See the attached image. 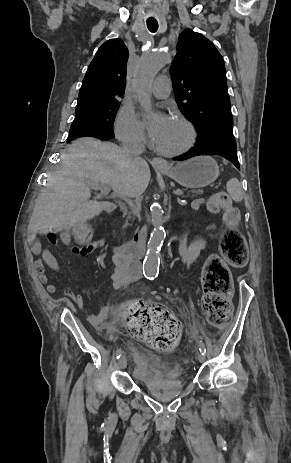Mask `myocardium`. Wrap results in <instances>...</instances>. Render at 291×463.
<instances>
[{"mask_svg": "<svg viewBox=\"0 0 291 463\" xmlns=\"http://www.w3.org/2000/svg\"><path fill=\"white\" fill-rule=\"evenodd\" d=\"M175 120L179 122L183 128L186 131V138L185 141L183 142L182 145L179 147L172 149V150H162V149H157V151L166 157H174V156H179L185 152H187L195 143L196 140V129L193 123L188 120L186 117L183 115L177 114L175 116Z\"/></svg>", "mask_w": 291, "mask_h": 463, "instance_id": "myocardium-1", "label": "myocardium"}]
</instances>
